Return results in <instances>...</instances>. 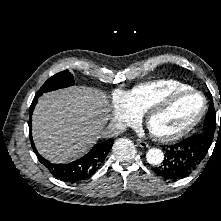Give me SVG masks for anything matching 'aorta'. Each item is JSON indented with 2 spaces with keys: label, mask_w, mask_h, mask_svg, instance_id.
<instances>
[{
  "label": "aorta",
  "mask_w": 221,
  "mask_h": 221,
  "mask_svg": "<svg viewBox=\"0 0 221 221\" xmlns=\"http://www.w3.org/2000/svg\"><path fill=\"white\" fill-rule=\"evenodd\" d=\"M147 162L151 165H159L164 160L163 152L158 148H151L146 154Z\"/></svg>",
  "instance_id": "762f6f07"
}]
</instances>
